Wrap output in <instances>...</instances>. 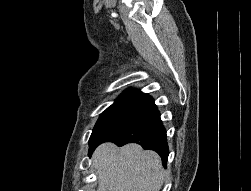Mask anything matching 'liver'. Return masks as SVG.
I'll return each mask as SVG.
<instances>
[{"label":"liver","mask_w":251,"mask_h":191,"mask_svg":"<svg viewBox=\"0 0 251 191\" xmlns=\"http://www.w3.org/2000/svg\"><path fill=\"white\" fill-rule=\"evenodd\" d=\"M98 173L97 191H159L165 169L156 151L138 143L117 147L101 143L92 155Z\"/></svg>","instance_id":"liver-1"}]
</instances>
